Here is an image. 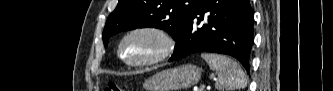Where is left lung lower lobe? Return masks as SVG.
Masks as SVG:
<instances>
[{
	"instance_id": "obj_1",
	"label": "left lung lower lobe",
	"mask_w": 333,
	"mask_h": 91,
	"mask_svg": "<svg viewBox=\"0 0 333 91\" xmlns=\"http://www.w3.org/2000/svg\"><path fill=\"white\" fill-rule=\"evenodd\" d=\"M207 23L200 25L204 20ZM254 14L249 0H200L181 33L169 61L198 52L235 57L249 71Z\"/></svg>"
}]
</instances>
